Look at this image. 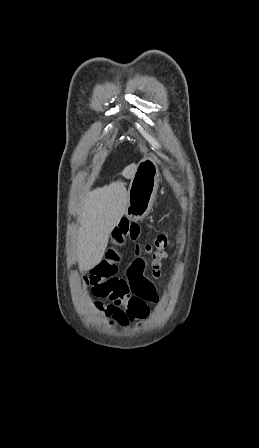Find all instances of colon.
I'll return each mask as SVG.
<instances>
[{
    "label": "colon",
    "mask_w": 259,
    "mask_h": 448,
    "mask_svg": "<svg viewBox=\"0 0 259 448\" xmlns=\"http://www.w3.org/2000/svg\"><path fill=\"white\" fill-rule=\"evenodd\" d=\"M170 242L165 236H158L153 243L147 247L149 253V262L152 268L154 277H159L161 261L168 256L167 249Z\"/></svg>",
    "instance_id": "5ec220e1"
}]
</instances>
